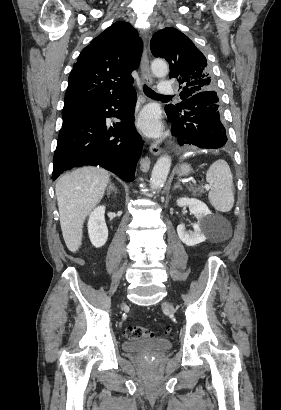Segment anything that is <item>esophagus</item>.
I'll list each match as a JSON object with an SVG mask.
<instances>
[{
    "label": "esophagus",
    "instance_id": "esophagus-1",
    "mask_svg": "<svg viewBox=\"0 0 281 410\" xmlns=\"http://www.w3.org/2000/svg\"><path fill=\"white\" fill-rule=\"evenodd\" d=\"M140 70H141V77L142 81L146 85H151L153 83V78L150 73V68H149V59H148V49L147 45L145 43L144 45V50L142 54V59H141V64H140ZM162 149L157 143H152L150 146V152L153 155H159L161 153Z\"/></svg>",
    "mask_w": 281,
    "mask_h": 410
}]
</instances>
